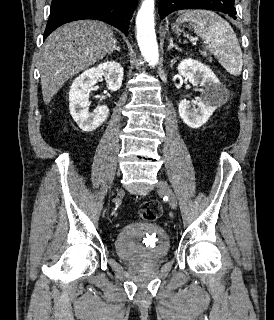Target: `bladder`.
<instances>
[{
	"label": "bladder",
	"instance_id": "bladder-1",
	"mask_svg": "<svg viewBox=\"0 0 274 320\" xmlns=\"http://www.w3.org/2000/svg\"><path fill=\"white\" fill-rule=\"evenodd\" d=\"M116 255L128 262L160 261L170 250V240L163 228L149 222L129 223L114 239Z\"/></svg>",
	"mask_w": 274,
	"mask_h": 320
}]
</instances>
